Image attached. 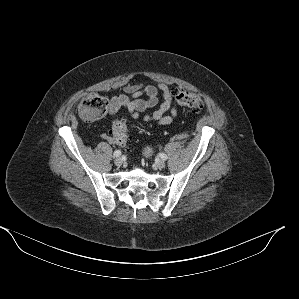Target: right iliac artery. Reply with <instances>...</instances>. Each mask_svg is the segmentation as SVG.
Listing matches in <instances>:
<instances>
[{
  "mask_svg": "<svg viewBox=\"0 0 299 299\" xmlns=\"http://www.w3.org/2000/svg\"><path fill=\"white\" fill-rule=\"evenodd\" d=\"M121 155V151L120 150H116L115 152H114V156L115 157H119Z\"/></svg>",
  "mask_w": 299,
  "mask_h": 299,
  "instance_id": "obj_1",
  "label": "right iliac artery"
}]
</instances>
